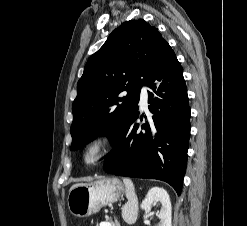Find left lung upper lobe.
<instances>
[{
    "label": "left lung upper lobe",
    "mask_w": 247,
    "mask_h": 226,
    "mask_svg": "<svg viewBox=\"0 0 247 226\" xmlns=\"http://www.w3.org/2000/svg\"><path fill=\"white\" fill-rule=\"evenodd\" d=\"M167 42L146 21L130 20L112 31L87 61L73 102L71 150L98 135L114 143L137 110L140 89ZM127 91L126 96L121 93Z\"/></svg>",
    "instance_id": "1"
}]
</instances>
